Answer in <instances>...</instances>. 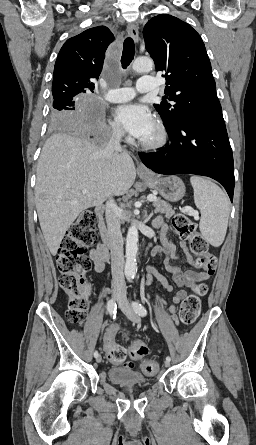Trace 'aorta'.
Returning a JSON list of instances; mask_svg holds the SVG:
<instances>
[{"label": "aorta", "instance_id": "obj_1", "mask_svg": "<svg viewBox=\"0 0 256 445\" xmlns=\"http://www.w3.org/2000/svg\"><path fill=\"white\" fill-rule=\"evenodd\" d=\"M132 69L138 73L150 72L153 69V61L150 58L139 57L132 63ZM138 252V230L132 225L126 237V263L125 275L127 278H134L137 273L136 257Z\"/></svg>", "mask_w": 256, "mask_h": 445}]
</instances>
